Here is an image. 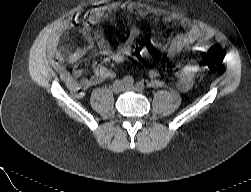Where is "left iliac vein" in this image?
<instances>
[{
	"label": "left iliac vein",
	"mask_w": 251,
	"mask_h": 192,
	"mask_svg": "<svg viewBox=\"0 0 251 192\" xmlns=\"http://www.w3.org/2000/svg\"><path fill=\"white\" fill-rule=\"evenodd\" d=\"M126 89L127 90H136V87L130 86V85H126Z\"/></svg>",
	"instance_id": "4c4485c4"
}]
</instances>
